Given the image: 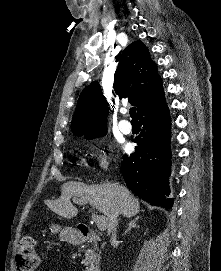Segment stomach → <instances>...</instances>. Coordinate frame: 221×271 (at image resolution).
Returning <instances> with one entry per match:
<instances>
[{"mask_svg":"<svg viewBox=\"0 0 221 271\" xmlns=\"http://www.w3.org/2000/svg\"><path fill=\"white\" fill-rule=\"evenodd\" d=\"M52 233H60L62 238H80L79 230L62 229L61 225H50Z\"/></svg>","mask_w":221,"mask_h":271,"instance_id":"1","label":"stomach"}]
</instances>
